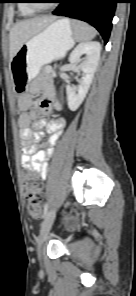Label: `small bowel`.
<instances>
[{
	"label": "small bowel",
	"mask_w": 136,
	"mask_h": 296,
	"mask_svg": "<svg viewBox=\"0 0 136 296\" xmlns=\"http://www.w3.org/2000/svg\"><path fill=\"white\" fill-rule=\"evenodd\" d=\"M21 114L18 118L20 137L22 140V166L31 173H39L45 178L48 172L49 159L53 153V147L61 136L65 120L56 117L50 120L37 119L42 114L49 113L53 108L60 109V103L53 98L52 93H47L41 101H32L28 95H23L18 101ZM30 112H28V110ZM49 135L46 141V150H40L37 143Z\"/></svg>",
	"instance_id": "c3829d8e"
}]
</instances>
